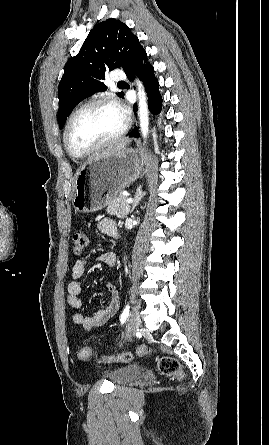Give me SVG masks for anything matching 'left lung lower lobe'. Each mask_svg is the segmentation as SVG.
Masks as SVG:
<instances>
[{"instance_id":"left-lung-lower-lobe-1","label":"left lung lower lobe","mask_w":269,"mask_h":445,"mask_svg":"<svg viewBox=\"0 0 269 445\" xmlns=\"http://www.w3.org/2000/svg\"><path fill=\"white\" fill-rule=\"evenodd\" d=\"M133 73L137 74L139 78L144 82L145 90L148 96L149 110L154 114L160 113L163 100L159 92V82L154 75L153 66L148 61L146 51L142 53L133 68L126 72L130 81L133 80ZM135 109L137 110L136 106ZM139 136L140 134L137 127H135L129 134V137L138 138Z\"/></svg>"}]
</instances>
